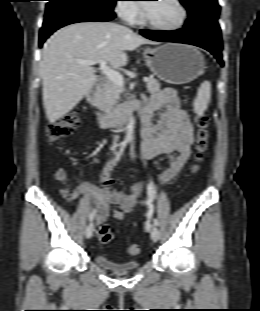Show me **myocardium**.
Masks as SVG:
<instances>
[{"label": "myocardium", "instance_id": "obj_1", "mask_svg": "<svg viewBox=\"0 0 260 311\" xmlns=\"http://www.w3.org/2000/svg\"><path fill=\"white\" fill-rule=\"evenodd\" d=\"M172 2L178 7L180 11V18L175 24L169 25V26H163V25H157L151 22L147 17L145 8L143 9L142 23L153 30L161 31V32H174V31H177L183 28L188 19L187 8L185 7V5L183 4L181 0H172Z\"/></svg>", "mask_w": 260, "mask_h": 311}]
</instances>
